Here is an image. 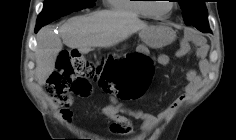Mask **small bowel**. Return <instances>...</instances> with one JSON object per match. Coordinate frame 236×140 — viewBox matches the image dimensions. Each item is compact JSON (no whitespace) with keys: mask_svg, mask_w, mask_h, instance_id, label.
<instances>
[{"mask_svg":"<svg viewBox=\"0 0 236 140\" xmlns=\"http://www.w3.org/2000/svg\"><path fill=\"white\" fill-rule=\"evenodd\" d=\"M188 39L193 38V34L188 32ZM186 43L182 44L179 54L182 55L186 50ZM197 56L201 63L204 64L203 50L197 51ZM152 61L158 65H167L169 57L165 54H160L152 58ZM203 83V77L196 70H189L186 74V84L181 88L178 96L160 113L157 115L140 110L128 109L117 104H109L103 108V115L111 120L110 131L114 135L136 138L134 132V120L141 121V131L144 137H149L156 128L163 122L168 121L185 100L194 92L199 90ZM71 102L64 103L60 110V115L63 120L70 122L72 119V111L70 110Z\"/></svg>","mask_w":236,"mask_h":140,"instance_id":"obj_1","label":"small bowel"}]
</instances>
